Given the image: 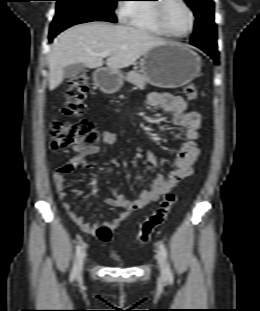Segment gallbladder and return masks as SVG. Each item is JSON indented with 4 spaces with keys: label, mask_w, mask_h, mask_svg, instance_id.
<instances>
[{
    "label": "gallbladder",
    "mask_w": 260,
    "mask_h": 311,
    "mask_svg": "<svg viewBox=\"0 0 260 311\" xmlns=\"http://www.w3.org/2000/svg\"><path fill=\"white\" fill-rule=\"evenodd\" d=\"M84 71H85V65L83 63L71 64L64 68L63 77L73 78Z\"/></svg>",
    "instance_id": "1"
}]
</instances>
